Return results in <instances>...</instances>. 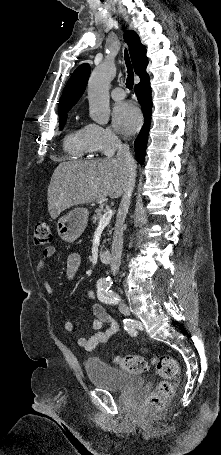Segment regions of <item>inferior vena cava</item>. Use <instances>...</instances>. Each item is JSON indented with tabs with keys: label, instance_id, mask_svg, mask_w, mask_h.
Instances as JSON below:
<instances>
[{
	"label": "inferior vena cava",
	"instance_id": "1",
	"mask_svg": "<svg viewBox=\"0 0 221 455\" xmlns=\"http://www.w3.org/2000/svg\"><path fill=\"white\" fill-rule=\"evenodd\" d=\"M117 160L119 163L124 165L128 181L119 205L116 224L114 228L112 250H111V272L115 276L119 270L121 263V255L123 248V232H124V221L128 213L131 195L135 186L136 181V163L130 153L129 146L127 144L119 143L117 151Z\"/></svg>",
	"mask_w": 221,
	"mask_h": 455
}]
</instances>
